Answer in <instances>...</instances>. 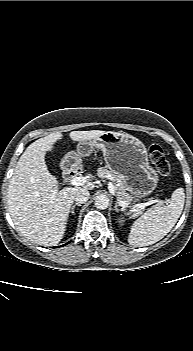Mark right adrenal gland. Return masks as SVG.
<instances>
[{
    "label": "right adrenal gland",
    "instance_id": "obj_1",
    "mask_svg": "<svg viewBox=\"0 0 193 351\" xmlns=\"http://www.w3.org/2000/svg\"><path fill=\"white\" fill-rule=\"evenodd\" d=\"M76 206H81V204H74L72 207H71V213L74 214V209Z\"/></svg>",
    "mask_w": 193,
    "mask_h": 351
}]
</instances>
